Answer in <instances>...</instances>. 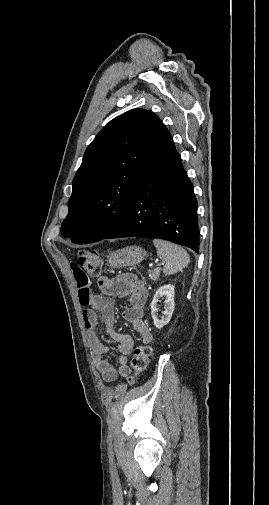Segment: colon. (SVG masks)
Returning <instances> with one entry per match:
<instances>
[{
  "instance_id": "1",
  "label": "colon",
  "mask_w": 269,
  "mask_h": 505,
  "mask_svg": "<svg viewBox=\"0 0 269 505\" xmlns=\"http://www.w3.org/2000/svg\"><path fill=\"white\" fill-rule=\"evenodd\" d=\"M77 261L80 268H85L87 274H90L92 280H97L99 274L103 271L100 255L95 249L81 250L77 255ZM75 275V274H74ZM153 357V350L148 345L138 346L134 350V355L131 361L132 371L126 377L129 383L136 382L138 377L147 369L148 363Z\"/></svg>"
}]
</instances>
